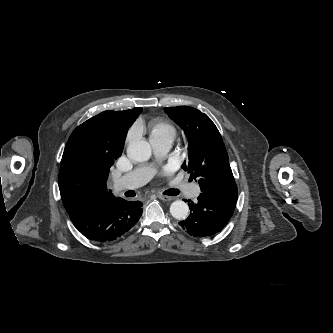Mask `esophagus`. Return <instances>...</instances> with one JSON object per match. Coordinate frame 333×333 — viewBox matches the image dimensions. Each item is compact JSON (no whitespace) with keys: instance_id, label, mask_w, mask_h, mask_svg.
Here are the masks:
<instances>
[{"instance_id":"1","label":"esophagus","mask_w":333,"mask_h":333,"mask_svg":"<svg viewBox=\"0 0 333 333\" xmlns=\"http://www.w3.org/2000/svg\"><path fill=\"white\" fill-rule=\"evenodd\" d=\"M158 198L165 202L171 201L173 199V197H171V196H166V195H162V194H158Z\"/></svg>"}]
</instances>
